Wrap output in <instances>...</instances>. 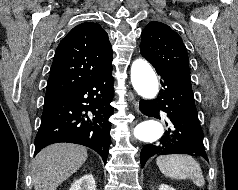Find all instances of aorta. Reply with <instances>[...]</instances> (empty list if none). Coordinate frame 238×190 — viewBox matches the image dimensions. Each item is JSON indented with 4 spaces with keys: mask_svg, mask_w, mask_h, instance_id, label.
Wrapping results in <instances>:
<instances>
[{
    "mask_svg": "<svg viewBox=\"0 0 238 190\" xmlns=\"http://www.w3.org/2000/svg\"><path fill=\"white\" fill-rule=\"evenodd\" d=\"M131 82L134 90L144 99H153L158 93V80L151 65L143 60L137 59L131 66ZM162 124L149 118L141 121L134 128V137L144 143H154L163 135Z\"/></svg>",
    "mask_w": 238,
    "mask_h": 190,
    "instance_id": "obj_1",
    "label": "aorta"
}]
</instances>
